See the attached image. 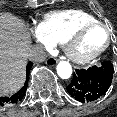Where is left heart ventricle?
<instances>
[{"label": "left heart ventricle", "instance_id": "obj_1", "mask_svg": "<svg viewBox=\"0 0 117 117\" xmlns=\"http://www.w3.org/2000/svg\"><path fill=\"white\" fill-rule=\"evenodd\" d=\"M107 39V31L102 27L87 30L75 43L74 49L79 54H88L101 48Z\"/></svg>", "mask_w": 117, "mask_h": 117}]
</instances>
